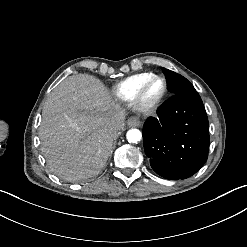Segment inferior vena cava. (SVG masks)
<instances>
[{
  "label": "inferior vena cava",
  "instance_id": "602c4592",
  "mask_svg": "<svg viewBox=\"0 0 247 247\" xmlns=\"http://www.w3.org/2000/svg\"><path fill=\"white\" fill-rule=\"evenodd\" d=\"M107 129L109 133L112 134L114 137H116L119 131L122 130L121 127L117 124H115L114 126H108Z\"/></svg>",
  "mask_w": 247,
  "mask_h": 247
}]
</instances>
